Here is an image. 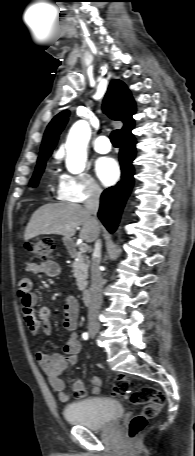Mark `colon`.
Listing matches in <instances>:
<instances>
[{
  "label": "colon",
  "mask_w": 195,
  "mask_h": 456,
  "mask_svg": "<svg viewBox=\"0 0 195 456\" xmlns=\"http://www.w3.org/2000/svg\"><path fill=\"white\" fill-rule=\"evenodd\" d=\"M26 249L37 258L47 261L53 254L55 243L51 238L44 237L27 243ZM112 393L131 404L142 406L141 413L133 416L128 424L129 439H135L141 434L148 420L161 412L166 401L164 392L151 386L141 387L131 392V382L126 376H118L114 379Z\"/></svg>",
  "instance_id": "colon-1"
}]
</instances>
